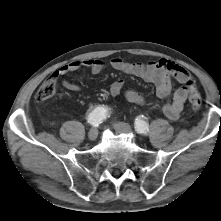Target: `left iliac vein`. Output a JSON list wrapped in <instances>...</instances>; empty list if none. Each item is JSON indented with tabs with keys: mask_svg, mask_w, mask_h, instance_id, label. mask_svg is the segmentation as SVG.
<instances>
[{
	"mask_svg": "<svg viewBox=\"0 0 221 221\" xmlns=\"http://www.w3.org/2000/svg\"><path fill=\"white\" fill-rule=\"evenodd\" d=\"M114 128L119 133H131L132 132L130 125L123 123V122L115 123Z\"/></svg>",
	"mask_w": 221,
	"mask_h": 221,
	"instance_id": "4c4485c4",
	"label": "left iliac vein"
}]
</instances>
